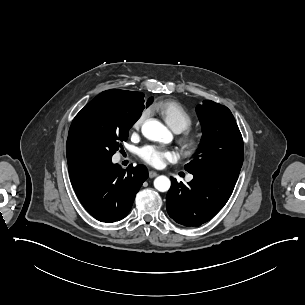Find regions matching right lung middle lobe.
I'll use <instances>...</instances> for the list:
<instances>
[{
  "mask_svg": "<svg viewBox=\"0 0 305 305\" xmlns=\"http://www.w3.org/2000/svg\"><path fill=\"white\" fill-rule=\"evenodd\" d=\"M152 103L149 99L148 107ZM144 101L130 107L103 112L89 103L74 118L67 139L71 164L104 165L128 138L129 129L141 116Z\"/></svg>",
  "mask_w": 305,
  "mask_h": 305,
  "instance_id": "1",
  "label": "right lung middle lobe"
}]
</instances>
